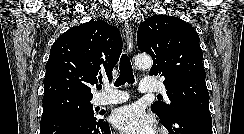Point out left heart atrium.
Listing matches in <instances>:
<instances>
[{"mask_svg": "<svg viewBox=\"0 0 244 134\" xmlns=\"http://www.w3.org/2000/svg\"><path fill=\"white\" fill-rule=\"evenodd\" d=\"M111 121L122 134H155L152 117L137 104L116 109Z\"/></svg>", "mask_w": 244, "mask_h": 134, "instance_id": "obj_1", "label": "left heart atrium"}]
</instances>
